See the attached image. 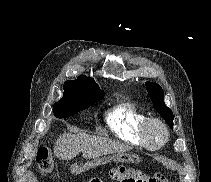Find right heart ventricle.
Returning a JSON list of instances; mask_svg holds the SVG:
<instances>
[{"label": "right heart ventricle", "mask_w": 211, "mask_h": 182, "mask_svg": "<svg viewBox=\"0 0 211 182\" xmlns=\"http://www.w3.org/2000/svg\"><path fill=\"white\" fill-rule=\"evenodd\" d=\"M147 118L132 102H120L106 114V122L113 133L121 140L134 145L144 146L139 135V128Z\"/></svg>", "instance_id": "1"}]
</instances>
